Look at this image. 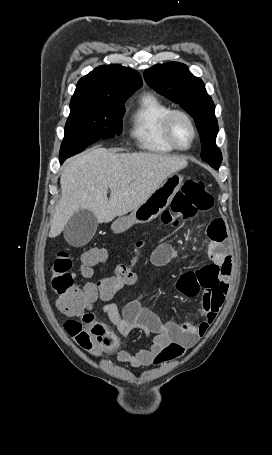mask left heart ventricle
<instances>
[{
	"instance_id": "b2bd125f",
	"label": "left heart ventricle",
	"mask_w": 272,
	"mask_h": 455,
	"mask_svg": "<svg viewBox=\"0 0 272 455\" xmlns=\"http://www.w3.org/2000/svg\"><path fill=\"white\" fill-rule=\"evenodd\" d=\"M172 133L176 143L182 147L188 146L192 140V129L183 117L177 116L174 118Z\"/></svg>"
}]
</instances>
